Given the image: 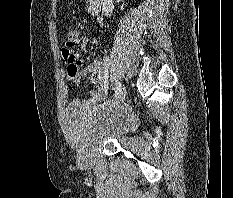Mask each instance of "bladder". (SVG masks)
<instances>
[{"label": "bladder", "instance_id": "1", "mask_svg": "<svg viewBox=\"0 0 233 198\" xmlns=\"http://www.w3.org/2000/svg\"><path fill=\"white\" fill-rule=\"evenodd\" d=\"M131 121L129 111L103 105L87 113L68 111L63 127L77 151L87 153L103 140L121 136Z\"/></svg>", "mask_w": 233, "mask_h": 198}]
</instances>
